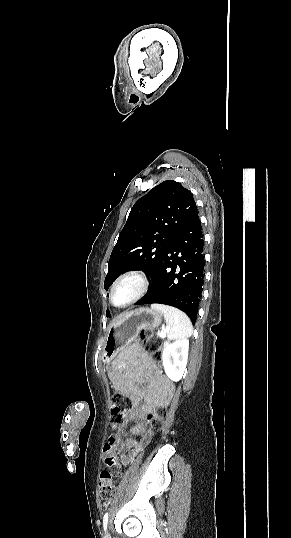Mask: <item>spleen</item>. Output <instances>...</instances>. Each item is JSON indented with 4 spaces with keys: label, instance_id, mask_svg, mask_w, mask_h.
Wrapping results in <instances>:
<instances>
[{
    "label": "spleen",
    "instance_id": "obj_1",
    "mask_svg": "<svg viewBox=\"0 0 291 538\" xmlns=\"http://www.w3.org/2000/svg\"><path fill=\"white\" fill-rule=\"evenodd\" d=\"M151 309L163 314L169 340L187 338L192 335L191 321L181 310L163 304H152Z\"/></svg>",
    "mask_w": 291,
    "mask_h": 538
}]
</instances>
